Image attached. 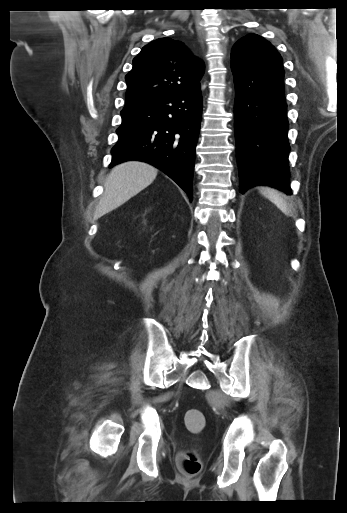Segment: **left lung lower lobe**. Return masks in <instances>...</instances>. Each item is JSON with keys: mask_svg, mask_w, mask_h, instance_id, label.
I'll list each match as a JSON object with an SVG mask.
<instances>
[{"mask_svg": "<svg viewBox=\"0 0 347 513\" xmlns=\"http://www.w3.org/2000/svg\"><path fill=\"white\" fill-rule=\"evenodd\" d=\"M231 68L240 192L264 184L291 195L284 73Z\"/></svg>", "mask_w": 347, "mask_h": 513, "instance_id": "0a47b994", "label": "left lung lower lobe"}]
</instances>
